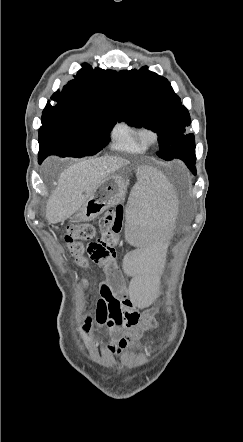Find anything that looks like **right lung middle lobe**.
I'll list each match as a JSON object with an SVG mask.
<instances>
[{"mask_svg": "<svg viewBox=\"0 0 243 442\" xmlns=\"http://www.w3.org/2000/svg\"><path fill=\"white\" fill-rule=\"evenodd\" d=\"M39 129V158L56 154L84 157L97 154L110 141L116 123L107 116L79 114L67 107L47 103Z\"/></svg>", "mask_w": 243, "mask_h": 442, "instance_id": "obj_1", "label": "right lung middle lobe"}]
</instances>
